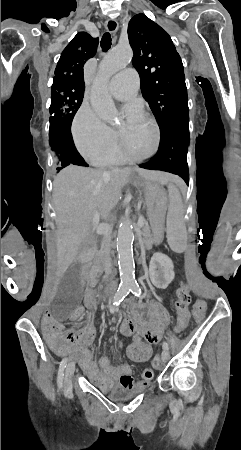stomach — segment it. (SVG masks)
I'll list each match as a JSON object with an SVG mask.
<instances>
[{
  "label": "stomach",
  "instance_id": "0dacf381",
  "mask_svg": "<svg viewBox=\"0 0 241 450\" xmlns=\"http://www.w3.org/2000/svg\"><path fill=\"white\" fill-rule=\"evenodd\" d=\"M137 183L143 188L147 206V215L152 230V238L156 244L162 242L164 236L165 214L167 206V197L156 181L137 178Z\"/></svg>",
  "mask_w": 241,
  "mask_h": 450
}]
</instances>
